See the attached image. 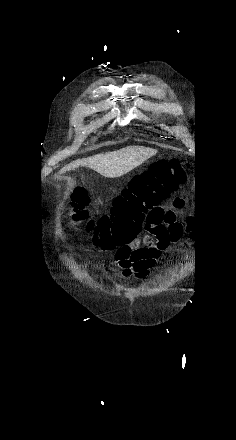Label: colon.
Here are the masks:
<instances>
[{"label":"colon","mask_w":236,"mask_h":440,"mask_svg":"<svg viewBox=\"0 0 236 440\" xmlns=\"http://www.w3.org/2000/svg\"><path fill=\"white\" fill-rule=\"evenodd\" d=\"M185 178L177 160L160 161L131 180L129 187L115 199L110 214L88 220V195L79 187L71 196L69 215L75 222L88 220L87 231L95 245L103 248L120 246L135 238L149 211L166 199Z\"/></svg>","instance_id":"colon-1"}]
</instances>
